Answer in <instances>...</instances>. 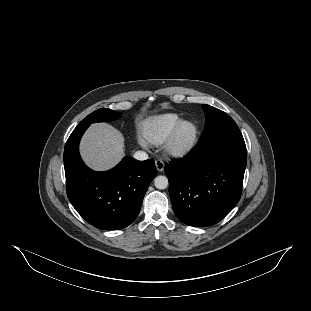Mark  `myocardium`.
<instances>
[{"instance_id": "myocardium-1", "label": "myocardium", "mask_w": 311, "mask_h": 311, "mask_svg": "<svg viewBox=\"0 0 311 311\" xmlns=\"http://www.w3.org/2000/svg\"><path fill=\"white\" fill-rule=\"evenodd\" d=\"M191 127L192 133L186 142L180 140V135L185 127ZM199 139V127L190 120H184L177 125L165 144V152L174 158L185 157L196 147Z\"/></svg>"}]
</instances>
